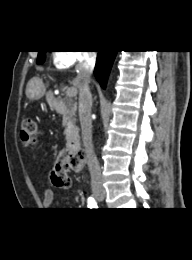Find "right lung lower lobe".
Wrapping results in <instances>:
<instances>
[{"mask_svg":"<svg viewBox=\"0 0 192 260\" xmlns=\"http://www.w3.org/2000/svg\"><path fill=\"white\" fill-rule=\"evenodd\" d=\"M116 54L117 51H99L98 53L94 75L104 89Z\"/></svg>","mask_w":192,"mask_h":260,"instance_id":"1","label":"right lung lower lobe"}]
</instances>
